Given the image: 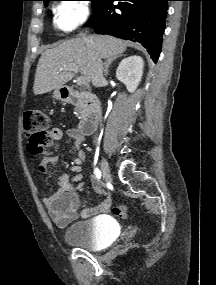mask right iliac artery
<instances>
[{
    "mask_svg": "<svg viewBox=\"0 0 216 285\" xmlns=\"http://www.w3.org/2000/svg\"><path fill=\"white\" fill-rule=\"evenodd\" d=\"M94 173H95V175H96V177H97L98 179L101 178V172H100V170H99L98 168H95Z\"/></svg>",
    "mask_w": 216,
    "mask_h": 285,
    "instance_id": "obj_1",
    "label": "right iliac artery"
}]
</instances>
